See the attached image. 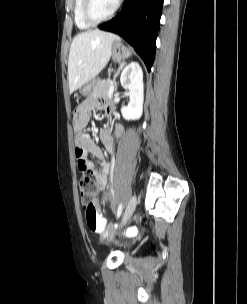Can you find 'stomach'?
<instances>
[{
  "label": "stomach",
  "instance_id": "1",
  "mask_svg": "<svg viewBox=\"0 0 247 304\" xmlns=\"http://www.w3.org/2000/svg\"><path fill=\"white\" fill-rule=\"evenodd\" d=\"M131 56V50L124 46L121 42L117 41L112 47L113 61L120 62ZM90 87H86L80 91L82 95H87Z\"/></svg>",
  "mask_w": 247,
  "mask_h": 304
}]
</instances>
